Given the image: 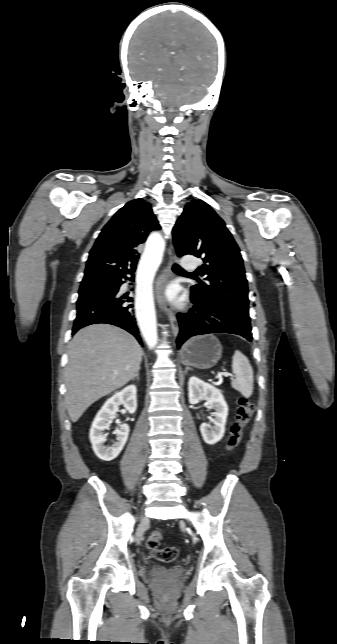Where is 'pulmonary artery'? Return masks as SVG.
<instances>
[{"label": "pulmonary artery", "instance_id": "e3ab8cb5", "mask_svg": "<svg viewBox=\"0 0 337 644\" xmlns=\"http://www.w3.org/2000/svg\"><path fill=\"white\" fill-rule=\"evenodd\" d=\"M181 265L185 270H194L196 268V260L193 256H184L181 260Z\"/></svg>", "mask_w": 337, "mask_h": 644}]
</instances>
